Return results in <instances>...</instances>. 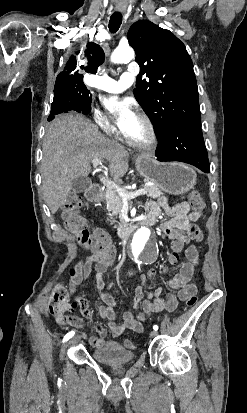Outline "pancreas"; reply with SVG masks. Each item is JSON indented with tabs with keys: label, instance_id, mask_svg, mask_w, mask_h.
Segmentation results:
<instances>
[{
	"label": "pancreas",
	"instance_id": "cf45deb5",
	"mask_svg": "<svg viewBox=\"0 0 247 413\" xmlns=\"http://www.w3.org/2000/svg\"><path fill=\"white\" fill-rule=\"evenodd\" d=\"M142 186H144L148 196H151V198H159V196L164 194L162 190H159L158 186H151V184H142ZM104 198L108 211H111L112 215H119L122 209L123 198L119 192H117L116 188H106V190H104ZM107 221H110V219H107ZM113 223H117V221H111V225H113ZM114 229H117V227H114Z\"/></svg>",
	"mask_w": 247,
	"mask_h": 413
}]
</instances>
